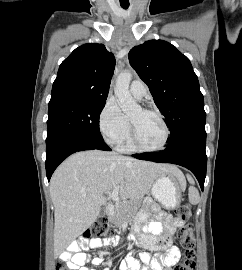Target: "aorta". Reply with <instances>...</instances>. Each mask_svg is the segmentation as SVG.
Returning <instances> with one entry per match:
<instances>
[{
    "label": "aorta",
    "mask_w": 242,
    "mask_h": 270,
    "mask_svg": "<svg viewBox=\"0 0 242 270\" xmlns=\"http://www.w3.org/2000/svg\"><path fill=\"white\" fill-rule=\"evenodd\" d=\"M132 79L130 71L120 73L116 79L115 95L118 98L120 107L125 114H132L140 110V106L132 98L129 92V85Z\"/></svg>",
    "instance_id": "762f6f07"
}]
</instances>
